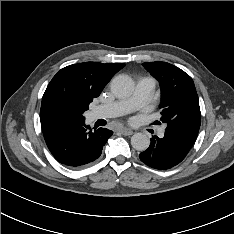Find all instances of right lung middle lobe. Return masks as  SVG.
<instances>
[{"mask_svg":"<svg viewBox=\"0 0 234 234\" xmlns=\"http://www.w3.org/2000/svg\"><path fill=\"white\" fill-rule=\"evenodd\" d=\"M86 110L88 106L78 104L58 94L43 97L40 110L41 126L58 121L82 120Z\"/></svg>","mask_w":234,"mask_h":234,"instance_id":"dd1d6c3e","label":"right lung middle lobe"}]
</instances>
